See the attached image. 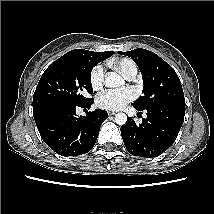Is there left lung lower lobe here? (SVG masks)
<instances>
[{
  "label": "left lung lower lobe",
  "instance_id": "obj_1",
  "mask_svg": "<svg viewBox=\"0 0 214 214\" xmlns=\"http://www.w3.org/2000/svg\"><path fill=\"white\" fill-rule=\"evenodd\" d=\"M145 110L147 118H143L139 125L129 119L121 128V136L129 153L153 158L161 155L175 142L184 121L185 106L163 104Z\"/></svg>",
  "mask_w": 214,
  "mask_h": 214
}]
</instances>
